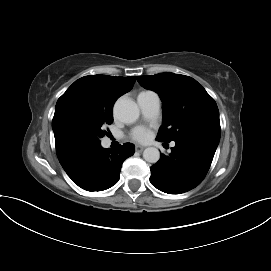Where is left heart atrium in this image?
Here are the masks:
<instances>
[{"label": "left heart atrium", "mask_w": 271, "mask_h": 271, "mask_svg": "<svg viewBox=\"0 0 271 271\" xmlns=\"http://www.w3.org/2000/svg\"><path fill=\"white\" fill-rule=\"evenodd\" d=\"M131 138L138 142H147L151 138V131L145 127H137L131 132Z\"/></svg>", "instance_id": "39dd6f15"}]
</instances>
